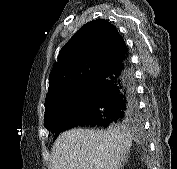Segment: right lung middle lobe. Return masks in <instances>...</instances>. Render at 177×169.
<instances>
[{
    "label": "right lung middle lobe",
    "mask_w": 177,
    "mask_h": 169,
    "mask_svg": "<svg viewBox=\"0 0 177 169\" xmlns=\"http://www.w3.org/2000/svg\"><path fill=\"white\" fill-rule=\"evenodd\" d=\"M94 92L93 81L88 82L72 92L65 100L45 108L44 126L49 132H56L63 123L79 114L90 104Z\"/></svg>",
    "instance_id": "obj_1"
}]
</instances>
